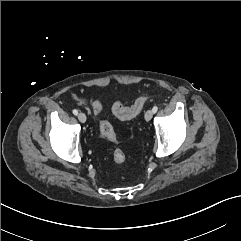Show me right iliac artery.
<instances>
[{
	"label": "right iliac artery",
	"instance_id": "right-iliac-artery-1",
	"mask_svg": "<svg viewBox=\"0 0 241 241\" xmlns=\"http://www.w3.org/2000/svg\"><path fill=\"white\" fill-rule=\"evenodd\" d=\"M73 114L74 115H77L78 114V111L76 109L73 110Z\"/></svg>",
	"mask_w": 241,
	"mask_h": 241
}]
</instances>
